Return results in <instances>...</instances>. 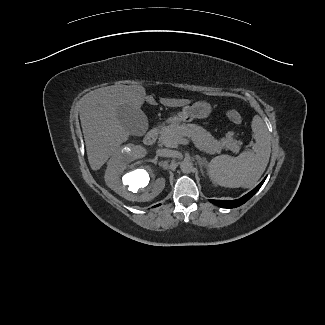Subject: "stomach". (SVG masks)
I'll use <instances>...</instances> for the list:
<instances>
[{
    "mask_svg": "<svg viewBox=\"0 0 325 325\" xmlns=\"http://www.w3.org/2000/svg\"><path fill=\"white\" fill-rule=\"evenodd\" d=\"M211 113V105L207 102H196L192 106L183 107L182 111L176 116L169 119L172 123H178L180 121H191L193 119L206 118Z\"/></svg>",
    "mask_w": 325,
    "mask_h": 325,
    "instance_id": "1",
    "label": "stomach"
}]
</instances>
